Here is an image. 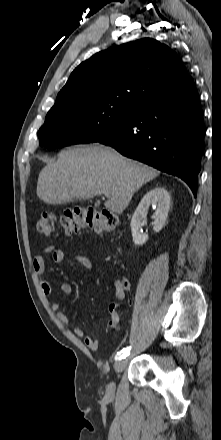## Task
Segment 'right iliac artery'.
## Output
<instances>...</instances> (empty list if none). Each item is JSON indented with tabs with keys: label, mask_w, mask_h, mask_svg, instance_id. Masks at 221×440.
<instances>
[{
	"label": "right iliac artery",
	"mask_w": 221,
	"mask_h": 440,
	"mask_svg": "<svg viewBox=\"0 0 221 440\" xmlns=\"http://www.w3.org/2000/svg\"><path fill=\"white\" fill-rule=\"evenodd\" d=\"M129 349H130V347L124 348L123 350L118 352L115 356V360H121V359L126 358L130 354Z\"/></svg>",
	"instance_id": "1"
}]
</instances>
